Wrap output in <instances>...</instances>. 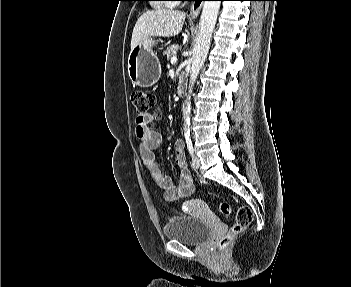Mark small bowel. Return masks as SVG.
Returning <instances> with one entry per match:
<instances>
[{"mask_svg": "<svg viewBox=\"0 0 351 287\" xmlns=\"http://www.w3.org/2000/svg\"><path fill=\"white\" fill-rule=\"evenodd\" d=\"M153 119V114L142 120L136 119L135 133L140 140L141 160L151 179L163 191L166 201L172 202L189 197L194 192L195 186L184 154V142L177 140L174 143L175 161L180 169L179 184L175 186L172 179L162 172L156 159L155 150L161 143V134L149 125Z\"/></svg>", "mask_w": 351, "mask_h": 287, "instance_id": "small-bowel-1", "label": "small bowel"}]
</instances>
